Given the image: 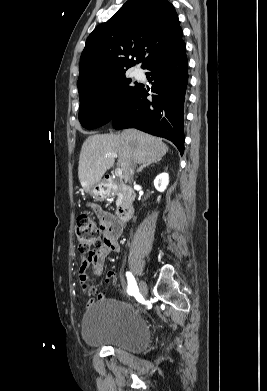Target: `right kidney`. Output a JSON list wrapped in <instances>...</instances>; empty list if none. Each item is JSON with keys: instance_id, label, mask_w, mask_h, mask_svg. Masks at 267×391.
<instances>
[{"instance_id": "1", "label": "right kidney", "mask_w": 267, "mask_h": 391, "mask_svg": "<svg viewBox=\"0 0 267 391\" xmlns=\"http://www.w3.org/2000/svg\"><path fill=\"white\" fill-rule=\"evenodd\" d=\"M169 183V176L167 173L158 175L154 180V186L159 192H163Z\"/></svg>"}]
</instances>
